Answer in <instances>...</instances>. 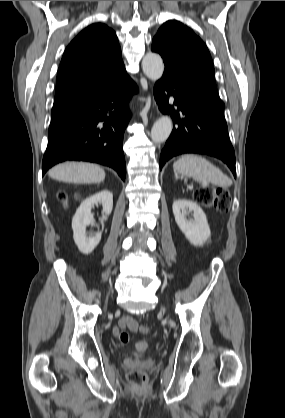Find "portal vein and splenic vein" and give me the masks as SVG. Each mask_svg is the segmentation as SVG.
I'll return each instance as SVG.
<instances>
[{"instance_id": "18ae733b", "label": "portal vein and splenic vein", "mask_w": 285, "mask_h": 418, "mask_svg": "<svg viewBox=\"0 0 285 418\" xmlns=\"http://www.w3.org/2000/svg\"><path fill=\"white\" fill-rule=\"evenodd\" d=\"M202 185H207V183H202Z\"/></svg>"}]
</instances>
